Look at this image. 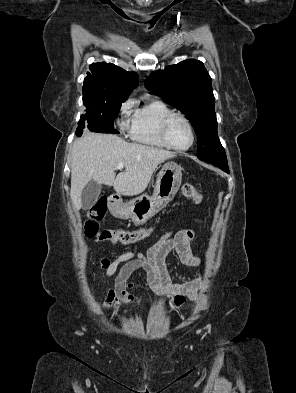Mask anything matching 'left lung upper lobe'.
Returning a JSON list of instances; mask_svg holds the SVG:
<instances>
[{"label":"left lung upper lobe","mask_w":296,"mask_h":393,"mask_svg":"<svg viewBox=\"0 0 296 393\" xmlns=\"http://www.w3.org/2000/svg\"><path fill=\"white\" fill-rule=\"evenodd\" d=\"M145 86L191 121L198 137L200 160L227 163L217 134L211 77L201 61L189 59L155 71Z\"/></svg>","instance_id":"obj_1"}]
</instances>
